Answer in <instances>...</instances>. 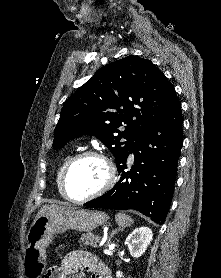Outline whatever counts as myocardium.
<instances>
[{"label": "myocardium", "instance_id": "f54148a6", "mask_svg": "<svg viewBox=\"0 0 221 278\" xmlns=\"http://www.w3.org/2000/svg\"><path fill=\"white\" fill-rule=\"evenodd\" d=\"M85 157H94V158L99 159L105 166L106 178H105L103 184L96 191L92 192L91 194H89L83 198L74 199L69 195L68 190H67L68 173H69L72 165L75 162H77L78 160L85 158ZM115 179H116L115 166H114L113 162L107 156H105L103 153L96 151V150H84V151L78 152L75 155H73L72 157H70V159L65 164L63 171H62V175H61V190H62V194H63L64 198H66L68 201L77 203V204L85 203L96 197L101 196L106 191H108L114 184Z\"/></svg>", "mask_w": 221, "mask_h": 278}]
</instances>
